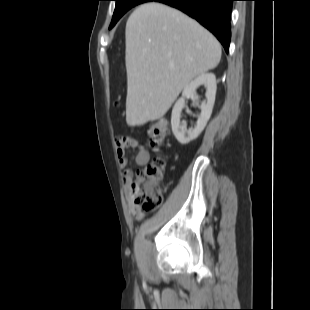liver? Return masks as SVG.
Here are the masks:
<instances>
[{
	"label": "liver",
	"mask_w": 310,
	"mask_h": 310,
	"mask_svg": "<svg viewBox=\"0 0 310 310\" xmlns=\"http://www.w3.org/2000/svg\"><path fill=\"white\" fill-rule=\"evenodd\" d=\"M125 37L129 126L163 117L180 92L221 59V46L209 31L160 3L136 8Z\"/></svg>",
	"instance_id": "obj_1"
}]
</instances>
